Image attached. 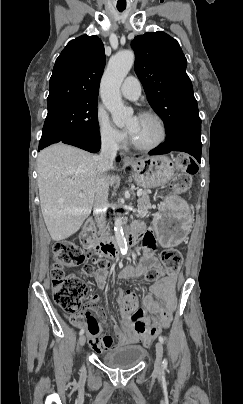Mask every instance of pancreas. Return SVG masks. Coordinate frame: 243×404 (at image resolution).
<instances>
[{
	"instance_id": "obj_1",
	"label": "pancreas",
	"mask_w": 243,
	"mask_h": 404,
	"mask_svg": "<svg viewBox=\"0 0 243 404\" xmlns=\"http://www.w3.org/2000/svg\"><path fill=\"white\" fill-rule=\"evenodd\" d=\"M148 194H150V193H143L141 198H139V200H137L138 218H145V216H148L149 210H150V208H152Z\"/></svg>"
}]
</instances>
